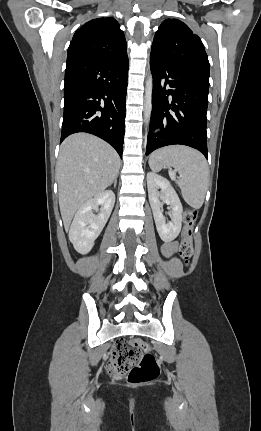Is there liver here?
Here are the masks:
<instances>
[{
	"instance_id": "obj_1",
	"label": "liver",
	"mask_w": 261,
	"mask_h": 431,
	"mask_svg": "<svg viewBox=\"0 0 261 431\" xmlns=\"http://www.w3.org/2000/svg\"><path fill=\"white\" fill-rule=\"evenodd\" d=\"M119 168L117 152L94 135L76 133L63 141L56 175L59 207L66 230L81 206L113 183Z\"/></svg>"
}]
</instances>
